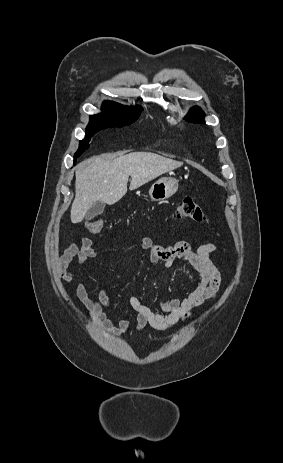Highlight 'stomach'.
Instances as JSON below:
<instances>
[{"label":"stomach","instance_id":"0dacf381","mask_svg":"<svg viewBox=\"0 0 283 463\" xmlns=\"http://www.w3.org/2000/svg\"><path fill=\"white\" fill-rule=\"evenodd\" d=\"M178 190V181L174 178H161L150 188L149 195L151 200L160 202L170 198Z\"/></svg>","mask_w":283,"mask_h":463}]
</instances>
